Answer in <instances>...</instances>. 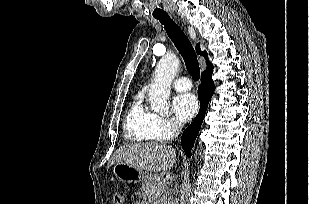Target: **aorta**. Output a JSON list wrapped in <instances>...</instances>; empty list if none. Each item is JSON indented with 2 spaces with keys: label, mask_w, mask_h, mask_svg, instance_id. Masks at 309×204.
<instances>
[{
  "label": "aorta",
  "mask_w": 309,
  "mask_h": 204,
  "mask_svg": "<svg viewBox=\"0 0 309 204\" xmlns=\"http://www.w3.org/2000/svg\"><path fill=\"white\" fill-rule=\"evenodd\" d=\"M179 59L174 54H167L160 59L155 69L154 83L149 89L151 109L156 112L169 110L171 83L177 73Z\"/></svg>",
  "instance_id": "762f6f07"
}]
</instances>
